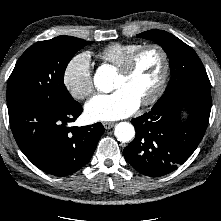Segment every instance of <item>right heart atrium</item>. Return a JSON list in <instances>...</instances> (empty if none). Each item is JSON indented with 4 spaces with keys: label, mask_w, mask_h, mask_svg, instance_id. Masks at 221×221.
Returning <instances> with one entry per match:
<instances>
[{
    "label": "right heart atrium",
    "mask_w": 221,
    "mask_h": 221,
    "mask_svg": "<svg viewBox=\"0 0 221 221\" xmlns=\"http://www.w3.org/2000/svg\"><path fill=\"white\" fill-rule=\"evenodd\" d=\"M63 79L75 99L83 100L89 97L94 90L90 55L81 53L74 56L65 68Z\"/></svg>",
    "instance_id": "obj_1"
}]
</instances>
